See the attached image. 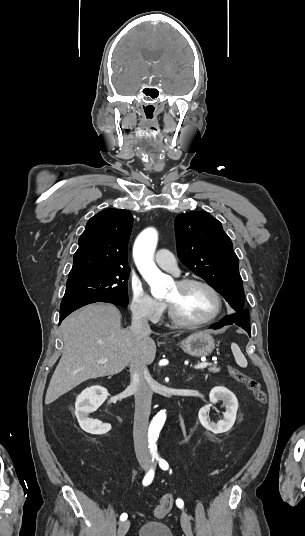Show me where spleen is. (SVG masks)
Segmentation results:
<instances>
[{
  "label": "spleen",
  "mask_w": 305,
  "mask_h": 536,
  "mask_svg": "<svg viewBox=\"0 0 305 536\" xmlns=\"http://www.w3.org/2000/svg\"><path fill=\"white\" fill-rule=\"evenodd\" d=\"M231 350H232V354L235 358V362L236 364H238V366H240V368H247V360L244 356V354H242L239 346H237V344H231Z\"/></svg>",
  "instance_id": "1"
}]
</instances>
